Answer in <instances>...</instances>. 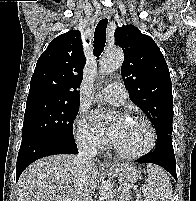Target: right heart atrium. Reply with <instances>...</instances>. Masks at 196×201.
<instances>
[{
    "label": "right heart atrium",
    "mask_w": 196,
    "mask_h": 201,
    "mask_svg": "<svg viewBox=\"0 0 196 201\" xmlns=\"http://www.w3.org/2000/svg\"><path fill=\"white\" fill-rule=\"evenodd\" d=\"M75 138L79 145L92 149H100L105 145V141L96 133L84 115L75 121Z\"/></svg>",
    "instance_id": "right-heart-atrium-1"
}]
</instances>
